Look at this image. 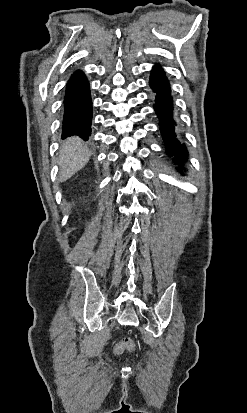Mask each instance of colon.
Here are the masks:
<instances>
[{
    "mask_svg": "<svg viewBox=\"0 0 247 413\" xmlns=\"http://www.w3.org/2000/svg\"><path fill=\"white\" fill-rule=\"evenodd\" d=\"M114 351H121L124 355L138 354L140 349L134 346V342L131 339L126 338L121 342H114L112 345Z\"/></svg>",
    "mask_w": 247,
    "mask_h": 413,
    "instance_id": "obj_1",
    "label": "colon"
}]
</instances>
